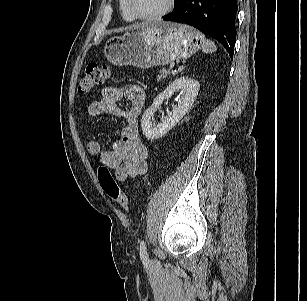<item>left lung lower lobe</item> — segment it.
<instances>
[{"label": "left lung lower lobe", "mask_w": 307, "mask_h": 301, "mask_svg": "<svg viewBox=\"0 0 307 301\" xmlns=\"http://www.w3.org/2000/svg\"><path fill=\"white\" fill-rule=\"evenodd\" d=\"M237 0H179L163 20L189 24L218 40L231 59L236 40Z\"/></svg>", "instance_id": "obj_1"}]
</instances>
